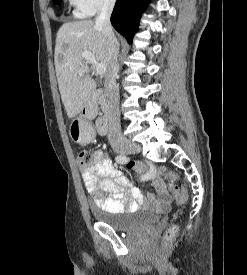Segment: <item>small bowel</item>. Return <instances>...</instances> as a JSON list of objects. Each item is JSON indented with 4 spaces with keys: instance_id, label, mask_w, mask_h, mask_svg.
<instances>
[{
    "instance_id": "c3829d8e",
    "label": "small bowel",
    "mask_w": 247,
    "mask_h": 275,
    "mask_svg": "<svg viewBox=\"0 0 247 275\" xmlns=\"http://www.w3.org/2000/svg\"><path fill=\"white\" fill-rule=\"evenodd\" d=\"M134 171L145 173L147 167L137 163ZM146 174V173H145ZM165 169L160 167L158 175L152 178L158 199L149 196L150 202L160 209H166L172 202L171 193L163 180ZM84 186L91 196L95 206L110 212L134 211L145 203V199L132 182L113 164L104 150L94 152L93 164L82 171ZM130 194V199H124V193Z\"/></svg>"
}]
</instances>
